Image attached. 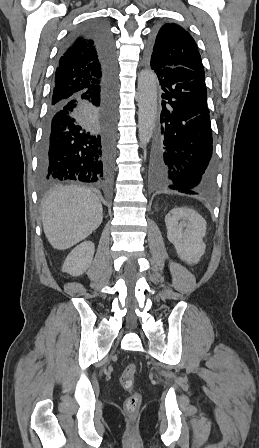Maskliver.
I'll return each instance as SVG.
<instances>
[{
    "label": "liver",
    "instance_id": "6515ba94",
    "mask_svg": "<svg viewBox=\"0 0 259 448\" xmlns=\"http://www.w3.org/2000/svg\"><path fill=\"white\" fill-rule=\"evenodd\" d=\"M102 214V204L92 190L61 186L43 204L45 236L56 250H67L99 228Z\"/></svg>",
    "mask_w": 259,
    "mask_h": 448
}]
</instances>
